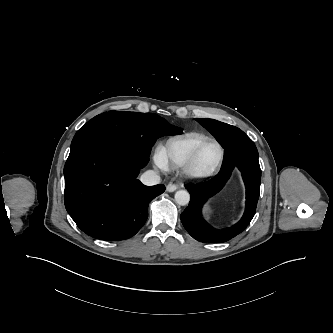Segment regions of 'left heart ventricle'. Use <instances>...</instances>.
Listing matches in <instances>:
<instances>
[{
	"instance_id": "obj_1",
	"label": "left heart ventricle",
	"mask_w": 333,
	"mask_h": 333,
	"mask_svg": "<svg viewBox=\"0 0 333 333\" xmlns=\"http://www.w3.org/2000/svg\"><path fill=\"white\" fill-rule=\"evenodd\" d=\"M219 149L215 144L206 145L198 158L197 169L199 171H206L210 169L218 160Z\"/></svg>"
}]
</instances>
